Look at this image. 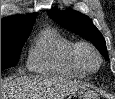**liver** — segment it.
Here are the masks:
<instances>
[{
    "mask_svg": "<svg viewBox=\"0 0 115 99\" xmlns=\"http://www.w3.org/2000/svg\"><path fill=\"white\" fill-rule=\"evenodd\" d=\"M84 88L82 84L57 77H18L1 80V99H63Z\"/></svg>",
    "mask_w": 115,
    "mask_h": 99,
    "instance_id": "liver-1",
    "label": "liver"
}]
</instances>
